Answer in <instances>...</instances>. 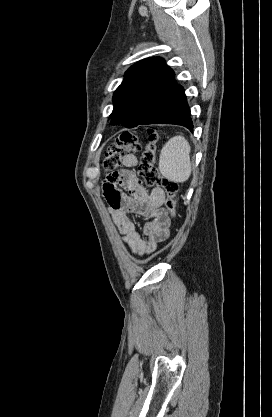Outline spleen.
Here are the masks:
<instances>
[{
    "mask_svg": "<svg viewBox=\"0 0 272 417\" xmlns=\"http://www.w3.org/2000/svg\"><path fill=\"white\" fill-rule=\"evenodd\" d=\"M191 147L182 135L167 141L160 153L159 170L169 181L183 183L191 175Z\"/></svg>",
    "mask_w": 272,
    "mask_h": 417,
    "instance_id": "spleen-1",
    "label": "spleen"
}]
</instances>
